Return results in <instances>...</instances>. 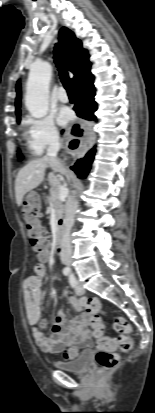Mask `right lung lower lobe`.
I'll use <instances>...</instances> for the list:
<instances>
[{"label":"right lung lower lobe","mask_w":155,"mask_h":413,"mask_svg":"<svg viewBox=\"0 0 155 413\" xmlns=\"http://www.w3.org/2000/svg\"><path fill=\"white\" fill-rule=\"evenodd\" d=\"M94 76L85 75L74 85L77 101L74 107L77 115L87 120H95L94 112L97 110V103L94 100L95 88L93 85ZM95 148L91 149L83 158L79 159L71 169L79 178H86L93 162Z\"/></svg>","instance_id":"98d812e1"}]
</instances>
